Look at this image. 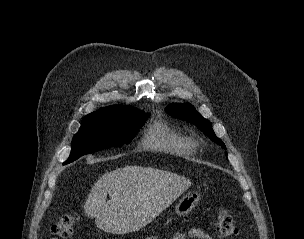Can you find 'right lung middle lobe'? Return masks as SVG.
<instances>
[{
    "instance_id": "1",
    "label": "right lung middle lobe",
    "mask_w": 304,
    "mask_h": 239,
    "mask_svg": "<svg viewBox=\"0 0 304 239\" xmlns=\"http://www.w3.org/2000/svg\"><path fill=\"white\" fill-rule=\"evenodd\" d=\"M148 117L149 113L138 109L117 116L85 117L72 140L71 154L65 164L85 154L129 144Z\"/></svg>"
}]
</instances>
